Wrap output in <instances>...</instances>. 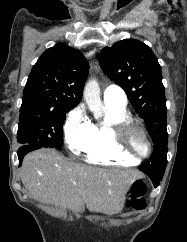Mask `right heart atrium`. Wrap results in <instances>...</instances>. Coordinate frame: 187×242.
<instances>
[{
  "label": "right heart atrium",
  "instance_id": "obj_1",
  "mask_svg": "<svg viewBox=\"0 0 187 242\" xmlns=\"http://www.w3.org/2000/svg\"><path fill=\"white\" fill-rule=\"evenodd\" d=\"M64 135L69 150L78 155L86 150L93 139V123L81 107L74 109L68 116Z\"/></svg>",
  "mask_w": 187,
  "mask_h": 242
}]
</instances>
